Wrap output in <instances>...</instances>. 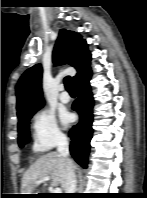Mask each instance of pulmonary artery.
<instances>
[{"label": "pulmonary artery", "instance_id": "e3ab8cb5", "mask_svg": "<svg viewBox=\"0 0 147 198\" xmlns=\"http://www.w3.org/2000/svg\"><path fill=\"white\" fill-rule=\"evenodd\" d=\"M61 90V93L59 95V100L62 102V103H68L70 101V95L64 90V87H61L60 88Z\"/></svg>", "mask_w": 147, "mask_h": 198}]
</instances>
